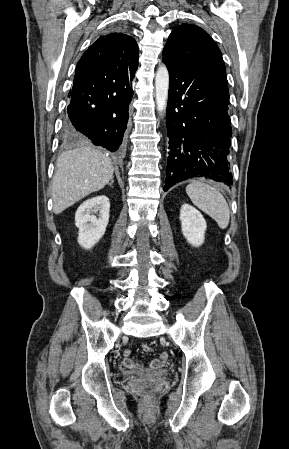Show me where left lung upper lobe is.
Masks as SVG:
<instances>
[{
  "mask_svg": "<svg viewBox=\"0 0 289 449\" xmlns=\"http://www.w3.org/2000/svg\"><path fill=\"white\" fill-rule=\"evenodd\" d=\"M163 57L199 71L221 92L229 96L222 54L202 28L191 24L175 28L164 47Z\"/></svg>",
  "mask_w": 289,
  "mask_h": 449,
  "instance_id": "left-lung-upper-lobe-1",
  "label": "left lung upper lobe"
}]
</instances>
